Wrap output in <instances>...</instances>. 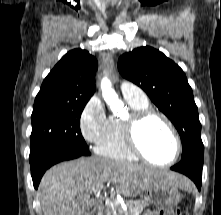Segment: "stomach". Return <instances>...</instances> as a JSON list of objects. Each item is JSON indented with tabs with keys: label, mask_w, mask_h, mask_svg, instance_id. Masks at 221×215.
Wrapping results in <instances>:
<instances>
[{
	"label": "stomach",
	"mask_w": 221,
	"mask_h": 215,
	"mask_svg": "<svg viewBox=\"0 0 221 215\" xmlns=\"http://www.w3.org/2000/svg\"><path fill=\"white\" fill-rule=\"evenodd\" d=\"M146 202L159 207H172L181 200L178 187L167 183H155L145 190Z\"/></svg>",
	"instance_id": "obj_1"
}]
</instances>
